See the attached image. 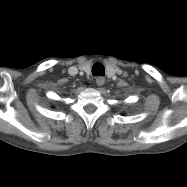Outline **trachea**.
Masks as SVG:
<instances>
[{"label": "trachea", "instance_id": "3493384b", "mask_svg": "<svg viewBox=\"0 0 187 187\" xmlns=\"http://www.w3.org/2000/svg\"><path fill=\"white\" fill-rule=\"evenodd\" d=\"M92 74L104 76L105 75V68L101 63H95L92 67Z\"/></svg>", "mask_w": 187, "mask_h": 187}]
</instances>
